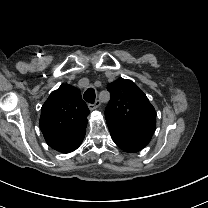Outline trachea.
<instances>
[{"mask_svg": "<svg viewBox=\"0 0 208 208\" xmlns=\"http://www.w3.org/2000/svg\"><path fill=\"white\" fill-rule=\"evenodd\" d=\"M83 98L85 101H87L90 104L95 103V91L93 88H89L85 91Z\"/></svg>", "mask_w": 208, "mask_h": 208, "instance_id": "obj_1", "label": "trachea"}]
</instances>
